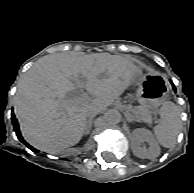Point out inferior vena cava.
Instances as JSON below:
<instances>
[{
  "label": "inferior vena cava",
  "instance_id": "inferior-vena-cava-1",
  "mask_svg": "<svg viewBox=\"0 0 194 193\" xmlns=\"http://www.w3.org/2000/svg\"><path fill=\"white\" fill-rule=\"evenodd\" d=\"M99 112H101V109L94 108L88 113V117L93 118L95 115H97Z\"/></svg>",
  "mask_w": 194,
  "mask_h": 193
}]
</instances>
